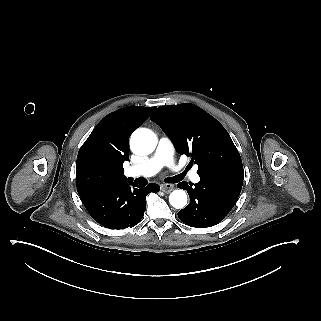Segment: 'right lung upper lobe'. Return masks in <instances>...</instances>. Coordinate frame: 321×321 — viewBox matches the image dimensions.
Listing matches in <instances>:
<instances>
[{
  "instance_id": "cb5924a9",
  "label": "right lung upper lobe",
  "mask_w": 321,
  "mask_h": 321,
  "mask_svg": "<svg viewBox=\"0 0 321 321\" xmlns=\"http://www.w3.org/2000/svg\"><path fill=\"white\" fill-rule=\"evenodd\" d=\"M156 107L129 106L104 117L80 148L76 163L78 194L132 182L123 172L129 137Z\"/></svg>"
}]
</instances>
